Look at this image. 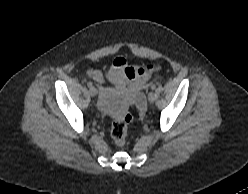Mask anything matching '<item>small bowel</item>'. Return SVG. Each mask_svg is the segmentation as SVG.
Wrapping results in <instances>:
<instances>
[{"mask_svg":"<svg viewBox=\"0 0 248 194\" xmlns=\"http://www.w3.org/2000/svg\"><path fill=\"white\" fill-rule=\"evenodd\" d=\"M88 77L100 86L102 95L108 93L107 83L121 87L128 85L133 91L145 86L151 79L149 67L129 66L122 57H117L106 72L89 70Z\"/></svg>","mask_w":248,"mask_h":194,"instance_id":"small-bowel-1","label":"small bowel"}]
</instances>
